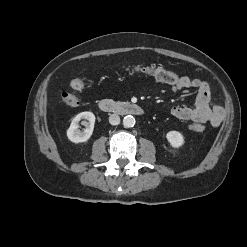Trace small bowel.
<instances>
[{"label": "small bowel", "mask_w": 247, "mask_h": 247, "mask_svg": "<svg viewBox=\"0 0 247 247\" xmlns=\"http://www.w3.org/2000/svg\"><path fill=\"white\" fill-rule=\"evenodd\" d=\"M190 88L197 90L195 105L193 107L174 106L171 109V114L180 120L208 123L212 127H218L224 119V110L222 107L212 104L211 85L199 78L182 76L179 82L172 86L174 92Z\"/></svg>", "instance_id": "obj_1"}]
</instances>
